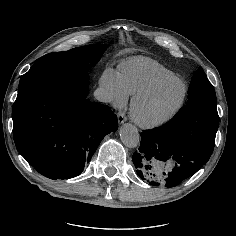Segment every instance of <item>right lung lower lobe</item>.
I'll list each match as a JSON object with an SVG mask.
<instances>
[{
  "label": "right lung lower lobe",
  "mask_w": 236,
  "mask_h": 236,
  "mask_svg": "<svg viewBox=\"0 0 236 236\" xmlns=\"http://www.w3.org/2000/svg\"><path fill=\"white\" fill-rule=\"evenodd\" d=\"M87 72L32 86L12 108L13 137L20 154L42 175H79L101 140L118 128L107 105L86 99Z\"/></svg>",
  "instance_id": "right-lung-lower-lobe-1"
}]
</instances>
